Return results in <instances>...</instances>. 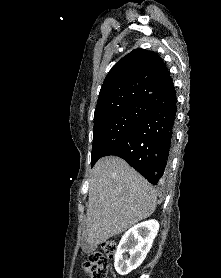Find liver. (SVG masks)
Masks as SVG:
<instances>
[{
	"mask_svg": "<svg viewBox=\"0 0 221 278\" xmlns=\"http://www.w3.org/2000/svg\"><path fill=\"white\" fill-rule=\"evenodd\" d=\"M155 189L123 159H100L89 180L86 242L98 244L148 218L156 208Z\"/></svg>",
	"mask_w": 221,
	"mask_h": 278,
	"instance_id": "obj_1",
	"label": "liver"
}]
</instances>
